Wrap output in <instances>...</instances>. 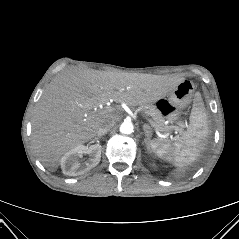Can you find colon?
<instances>
[{
  "label": "colon",
  "mask_w": 239,
  "mask_h": 239,
  "mask_svg": "<svg viewBox=\"0 0 239 239\" xmlns=\"http://www.w3.org/2000/svg\"><path fill=\"white\" fill-rule=\"evenodd\" d=\"M158 107L160 111L167 116L171 115L174 111V108L166 100H161L158 104Z\"/></svg>",
  "instance_id": "1"
}]
</instances>
